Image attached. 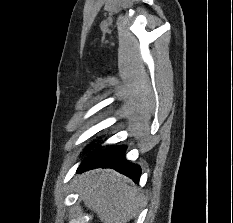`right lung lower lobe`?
Wrapping results in <instances>:
<instances>
[{
  "mask_svg": "<svg viewBox=\"0 0 233 223\" xmlns=\"http://www.w3.org/2000/svg\"><path fill=\"white\" fill-rule=\"evenodd\" d=\"M125 150V146H116L104 151H101L100 147H98L80 165L78 172L99 167L113 168L127 175L137 183L141 174V169L136 164L126 162L124 158Z\"/></svg>",
  "mask_w": 233,
  "mask_h": 223,
  "instance_id": "1",
  "label": "right lung lower lobe"
}]
</instances>
